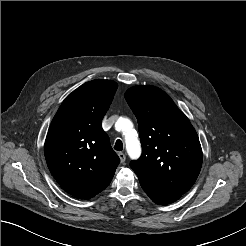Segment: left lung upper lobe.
<instances>
[{"mask_svg":"<svg viewBox=\"0 0 246 246\" xmlns=\"http://www.w3.org/2000/svg\"><path fill=\"white\" fill-rule=\"evenodd\" d=\"M125 99L138 120L141 157L130 163L139 180L186 193L202 166L198 135L188 118L161 89L135 86Z\"/></svg>","mask_w":246,"mask_h":246,"instance_id":"left-lung-upper-lobe-1","label":"left lung upper lobe"}]
</instances>
